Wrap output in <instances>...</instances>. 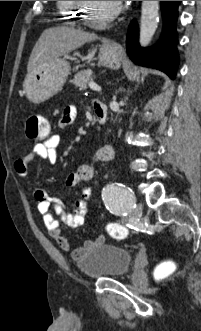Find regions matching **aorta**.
<instances>
[{
    "label": "aorta",
    "instance_id": "762f6f07",
    "mask_svg": "<svg viewBox=\"0 0 201 331\" xmlns=\"http://www.w3.org/2000/svg\"><path fill=\"white\" fill-rule=\"evenodd\" d=\"M159 1H142L140 45L145 47L151 42L158 25Z\"/></svg>",
    "mask_w": 201,
    "mask_h": 331
}]
</instances>
